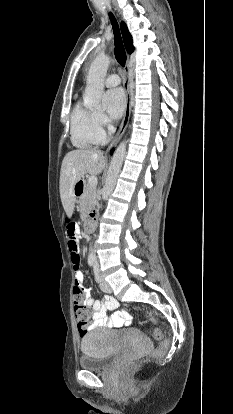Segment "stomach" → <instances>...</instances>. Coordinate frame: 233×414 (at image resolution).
<instances>
[{
	"instance_id": "1",
	"label": "stomach",
	"mask_w": 233,
	"mask_h": 414,
	"mask_svg": "<svg viewBox=\"0 0 233 414\" xmlns=\"http://www.w3.org/2000/svg\"><path fill=\"white\" fill-rule=\"evenodd\" d=\"M74 194L76 196H81L82 195L81 187H76V190H75V187H74Z\"/></svg>"
}]
</instances>
